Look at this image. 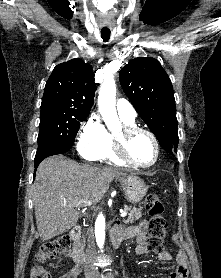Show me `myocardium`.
<instances>
[{"label":"myocardium","mask_w":221,"mask_h":278,"mask_svg":"<svg viewBox=\"0 0 221 278\" xmlns=\"http://www.w3.org/2000/svg\"><path fill=\"white\" fill-rule=\"evenodd\" d=\"M139 132H143L147 134L151 138L155 148V158L152 163L147 165H141L133 162L126 154V146H127L128 139ZM113 149L116 157L122 163L135 169H149L154 165H156L160 159V145L156 135L149 129L139 127V126H134V125L125 126L122 130L121 135L114 137Z\"/></svg>","instance_id":"myocardium-1"}]
</instances>
